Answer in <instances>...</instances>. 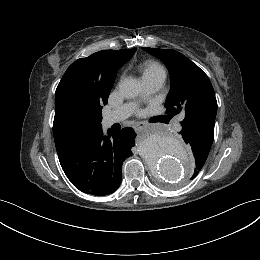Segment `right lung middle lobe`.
Wrapping results in <instances>:
<instances>
[{"label":"right lung middle lobe","instance_id":"1","mask_svg":"<svg viewBox=\"0 0 260 260\" xmlns=\"http://www.w3.org/2000/svg\"><path fill=\"white\" fill-rule=\"evenodd\" d=\"M113 85L86 89L69 85L59 94V106L65 120L78 131L101 127L102 107L107 104Z\"/></svg>","mask_w":260,"mask_h":260}]
</instances>
